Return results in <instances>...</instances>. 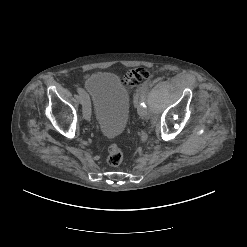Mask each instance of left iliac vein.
I'll list each match as a JSON object with an SVG mask.
<instances>
[{
  "label": "left iliac vein",
  "mask_w": 247,
  "mask_h": 247,
  "mask_svg": "<svg viewBox=\"0 0 247 247\" xmlns=\"http://www.w3.org/2000/svg\"><path fill=\"white\" fill-rule=\"evenodd\" d=\"M138 113L143 118H147L150 115L149 111L146 108H138Z\"/></svg>",
  "instance_id": "1"
}]
</instances>
